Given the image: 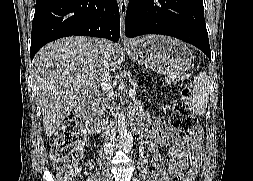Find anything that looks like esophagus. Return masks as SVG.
I'll return each instance as SVG.
<instances>
[{
	"instance_id": "obj_1",
	"label": "esophagus",
	"mask_w": 253,
	"mask_h": 181,
	"mask_svg": "<svg viewBox=\"0 0 253 181\" xmlns=\"http://www.w3.org/2000/svg\"><path fill=\"white\" fill-rule=\"evenodd\" d=\"M119 12H120V23H121V38L124 42L127 41L124 35V27H125V16L128 5V0H118Z\"/></svg>"
}]
</instances>
